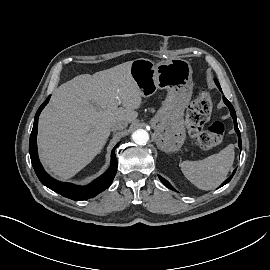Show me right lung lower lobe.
I'll return each instance as SVG.
<instances>
[{
    "mask_svg": "<svg viewBox=\"0 0 270 270\" xmlns=\"http://www.w3.org/2000/svg\"><path fill=\"white\" fill-rule=\"evenodd\" d=\"M50 99V96L43 102V104L39 107L35 118H34V125L30 136V142H29V152L31 157L32 166L41 181L43 185L46 187L52 189L53 191L70 198L75 201H81L86 200L89 198H92L99 194L100 192L104 191L106 188H108L117 171V159L115 156V148L118 146V144L114 147V149L111 152V164L108 170L95 179L92 183L87 185L86 187H80L76 186L70 183H62L59 182L52 177H50L45 170L43 169L39 158H38V152H37V143H36V137H37V130H38V117L42 111V109L46 106Z\"/></svg>",
    "mask_w": 270,
    "mask_h": 270,
    "instance_id": "obj_1",
    "label": "right lung lower lobe"
}]
</instances>
